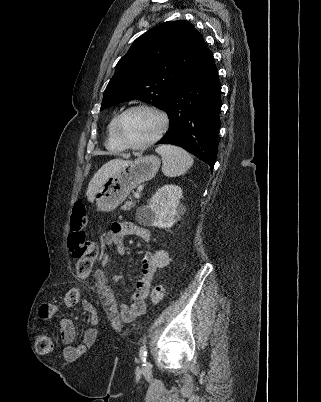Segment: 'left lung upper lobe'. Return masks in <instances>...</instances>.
I'll use <instances>...</instances> for the list:
<instances>
[{
  "instance_id": "1",
  "label": "left lung upper lobe",
  "mask_w": 321,
  "mask_h": 402,
  "mask_svg": "<svg viewBox=\"0 0 321 402\" xmlns=\"http://www.w3.org/2000/svg\"><path fill=\"white\" fill-rule=\"evenodd\" d=\"M205 50L202 36L185 20L164 22L150 29L117 63L104 91L101 110L131 99L164 109L173 89Z\"/></svg>"
}]
</instances>
